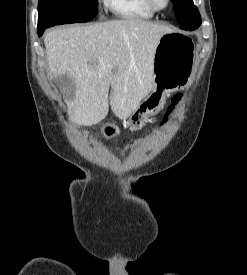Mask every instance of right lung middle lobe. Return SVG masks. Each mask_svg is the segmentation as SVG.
<instances>
[{"mask_svg": "<svg viewBox=\"0 0 247 275\" xmlns=\"http://www.w3.org/2000/svg\"><path fill=\"white\" fill-rule=\"evenodd\" d=\"M97 15V0H39L38 27L83 23Z\"/></svg>", "mask_w": 247, "mask_h": 275, "instance_id": "obj_1", "label": "right lung middle lobe"}]
</instances>
